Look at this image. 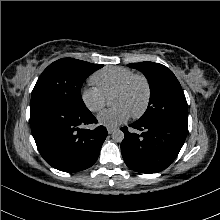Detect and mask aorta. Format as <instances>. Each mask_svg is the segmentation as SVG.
<instances>
[{
  "label": "aorta",
  "instance_id": "aorta-1",
  "mask_svg": "<svg viewBox=\"0 0 220 220\" xmlns=\"http://www.w3.org/2000/svg\"><path fill=\"white\" fill-rule=\"evenodd\" d=\"M112 139L115 142H122L124 139V133L120 129L114 130L112 132Z\"/></svg>",
  "mask_w": 220,
  "mask_h": 220
}]
</instances>
